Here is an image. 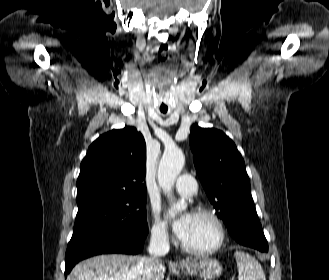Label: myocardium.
<instances>
[{"label":"myocardium","mask_w":329,"mask_h":280,"mask_svg":"<svg viewBox=\"0 0 329 280\" xmlns=\"http://www.w3.org/2000/svg\"><path fill=\"white\" fill-rule=\"evenodd\" d=\"M194 214L205 217L212 222L216 229V240L211 246L206 248H193L181 241L182 249L191 255L197 256H206L216 253L225 242L226 229L224 223L214 211L205 207H197L194 210Z\"/></svg>","instance_id":"obj_1"}]
</instances>
